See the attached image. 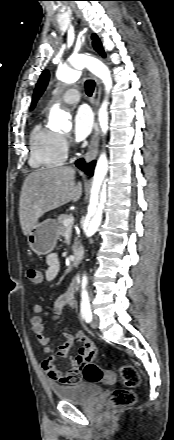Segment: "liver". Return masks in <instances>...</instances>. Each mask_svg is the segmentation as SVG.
<instances>
[{"label":"liver","mask_w":174,"mask_h":440,"mask_svg":"<svg viewBox=\"0 0 174 440\" xmlns=\"http://www.w3.org/2000/svg\"><path fill=\"white\" fill-rule=\"evenodd\" d=\"M74 179L72 167L40 168L26 177L19 200V219L25 236L46 212L81 198L82 184H76Z\"/></svg>","instance_id":"6515ba94"}]
</instances>
